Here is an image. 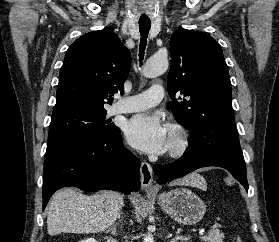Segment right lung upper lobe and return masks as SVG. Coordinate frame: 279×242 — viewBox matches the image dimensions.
<instances>
[{"mask_svg":"<svg viewBox=\"0 0 279 242\" xmlns=\"http://www.w3.org/2000/svg\"><path fill=\"white\" fill-rule=\"evenodd\" d=\"M131 54L109 29L86 33L67 50L59 74L53 114L72 110H105L112 95L123 92Z\"/></svg>","mask_w":279,"mask_h":242,"instance_id":"cb5924a9","label":"right lung upper lobe"}]
</instances>
